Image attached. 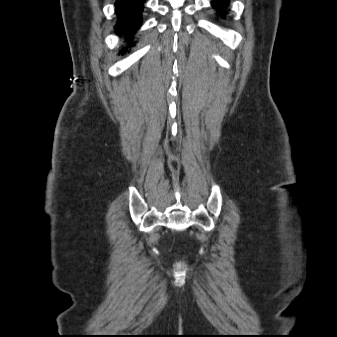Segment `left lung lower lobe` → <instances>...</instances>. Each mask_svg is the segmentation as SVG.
Returning <instances> with one entry per match:
<instances>
[{
    "mask_svg": "<svg viewBox=\"0 0 337 337\" xmlns=\"http://www.w3.org/2000/svg\"><path fill=\"white\" fill-rule=\"evenodd\" d=\"M230 0H213L212 5L218 10L221 17L227 14V7Z\"/></svg>",
    "mask_w": 337,
    "mask_h": 337,
    "instance_id": "1",
    "label": "left lung lower lobe"
}]
</instances>
